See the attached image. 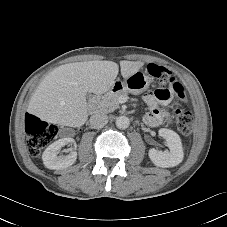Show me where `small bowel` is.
<instances>
[{
  "mask_svg": "<svg viewBox=\"0 0 227 227\" xmlns=\"http://www.w3.org/2000/svg\"><path fill=\"white\" fill-rule=\"evenodd\" d=\"M170 97L171 90L168 87H160L153 93L144 95V101L149 107L144 119L149 126L155 127L170 120L169 112L159 107V105L167 106L170 103Z\"/></svg>",
  "mask_w": 227,
  "mask_h": 227,
  "instance_id": "obj_1",
  "label": "small bowel"
}]
</instances>
